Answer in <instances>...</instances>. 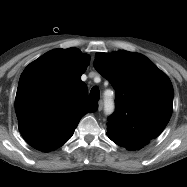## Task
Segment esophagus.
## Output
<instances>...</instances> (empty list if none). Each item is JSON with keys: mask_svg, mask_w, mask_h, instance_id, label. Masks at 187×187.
<instances>
[{"mask_svg": "<svg viewBox=\"0 0 187 187\" xmlns=\"http://www.w3.org/2000/svg\"><path fill=\"white\" fill-rule=\"evenodd\" d=\"M103 108V102L102 101H99L98 102V111H101Z\"/></svg>", "mask_w": 187, "mask_h": 187, "instance_id": "1", "label": "esophagus"}]
</instances>
